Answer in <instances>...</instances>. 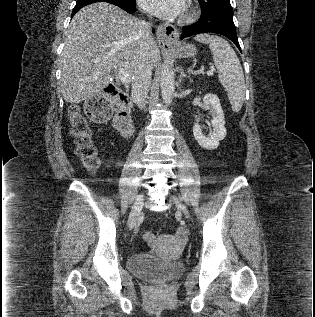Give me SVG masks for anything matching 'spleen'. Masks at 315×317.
Here are the masks:
<instances>
[{"label":"spleen","instance_id":"3e777b00","mask_svg":"<svg viewBox=\"0 0 315 317\" xmlns=\"http://www.w3.org/2000/svg\"><path fill=\"white\" fill-rule=\"evenodd\" d=\"M194 39L209 45L220 83L227 91L232 110L239 112L245 99V79L235 51L225 39L217 35L204 33L196 35Z\"/></svg>","mask_w":315,"mask_h":317}]
</instances>
